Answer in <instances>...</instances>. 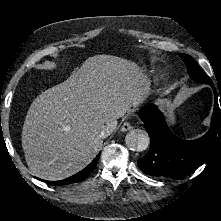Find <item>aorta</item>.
<instances>
[{"label":"aorta","instance_id":"obj_1","mask_svg":"<svg viewBox=\"0 0 221 221\" xmlns=\"http://www.w3.org/2000/svg\"><path fill=\"white\" fill-rule=\"evenodd\" d=\"M125 143L130 150L143 151L148 147L150 138L145 130L135 129L127 133Z\"/></svg>","mask_w":221,"mask_h":221}]
</instances>
